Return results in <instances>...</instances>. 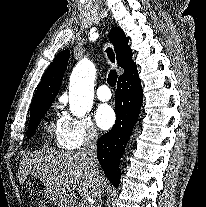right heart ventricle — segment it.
I'll list each match as a JSON object with an SVG mask.
<instances>
[{
	"mask_svg": "<svg viewBox=\"0 0 206 207\" xmlns=\"http://www.w3.org/2000/svg\"><path fill=\"white\" fill-rule=\"evenodd\" d=\"M47 131L50 134V136L52 135H57V140H58V131H59V126L58 124H54L53 122H49L47 125Z\"/></svg>",
	"mask_w": 206,
	"mask_h": 207,
	"instance_id": "1",
	"label": "right heart ventricle"
}]
</instances>
